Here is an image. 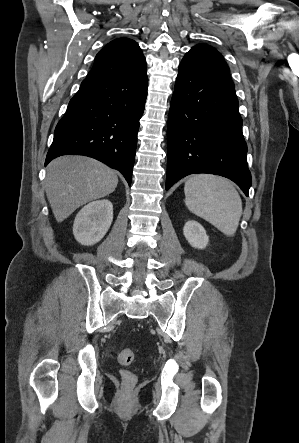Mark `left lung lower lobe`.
<instances>
[{
	"instance_id": "1",
	"label": "left lung lower lobe",
	"mask_w": 299,
	"mask_h": 443,
	"mask_svg": "<svg viewBox=\"0 0 299 443\" xmlns=\"http://www.w3.org/2000/svg\"><path fill=\"white\" fill-rule=\"evenodd\" d=\"M166 190L194 173L224 176L248 196L251 173L235 88L180 67L167 130Z\"/></svg>"
}]
</instances>
